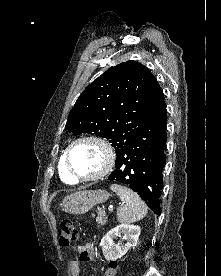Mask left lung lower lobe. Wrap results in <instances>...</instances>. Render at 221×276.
I'll return each mask as SVG.
<instances>
[{"mask_svg":"<svg viewBox=\"0 0 221 276\" xmlns=\"http://www.w3.org/2000/svg\"><path fill=\"white\" fill-rule=\"evenodd\" d=\"M166 125L165 105L116 153V169L108 177L137 192L155 214H160L162 172L166 164Z\"/></svg>","mask_w":221,"mask_h":276,"instance_id":"obj_1","label":"left lung lower lobe"}]
</instances>
